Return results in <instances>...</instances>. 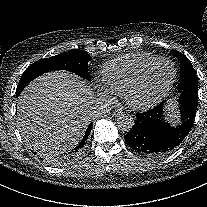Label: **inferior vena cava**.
Instances as JSON below:
<instances>
[{
  "label": "inferior vena cava",
  "mask_w": 207,
  "mask_h": 207,
  "mask_svg": "<svg viewBox=\"0 0 207 207\" xmlns=\"http://www.w3.org/2000/svg\"><path fill=\"white\" fill-rule=\"evenodd\" d=\"M91 113H92V114H95V113H96V111H95V110H94V111H91Z\"/></svg>",
  "instance_id": "602c4592"
}]
</instances>
